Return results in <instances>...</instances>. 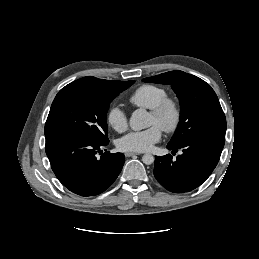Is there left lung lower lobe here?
<instances>
[{
  "label": "left lung lower lobe",
  "mask_w": 259,
  "mask_h": 259,
  "mask_svg": "<svg viewBox=\"0 0 259 259\" xmlns=\"http://www.w3.org/2000/svg\"><path fill=\"white\" fill-rule=\"evenodd\" d=\"M225 143V136L201 134L188 139L179 147L167 145L169 150L182 154L172 160L170 154L155 157L154 176L167 190L189 192L200 186L216 167Z\"/></svg>",
  "instance_id": "0a47b994"
}]
</instances>
